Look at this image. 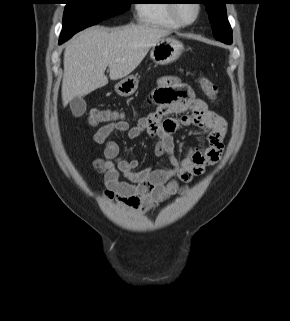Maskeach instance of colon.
Wrapping results in <instances>:
<instances>
[{"mask_svg":"<svg viewBox=\"0 0 290 321\" xmlns=\"http://www.w3.org/2000/svg\"><path fill=\"white\" fill-rule=\"evenodd\" d=\"M198 83L203 92L213 101L218 100L219 90L218 87L207 77L201 75L198 79ZM119 121V116L116 112L111 110H99L92 109L88 114V123L91 126H97L99 124H107L111 122Z\"/></svg>","mask_w":290,"mask_h":321,"instance_id":"5ec220e1","label":"colon"}]
</instances>
